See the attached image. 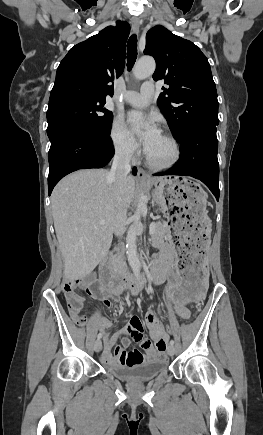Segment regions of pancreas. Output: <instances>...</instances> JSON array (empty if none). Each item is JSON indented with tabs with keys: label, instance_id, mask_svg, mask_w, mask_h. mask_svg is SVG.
<instances>
[{
	"label": "pancreas",
	"instance_id": "pancreas-1",
	"mask_svg": "<svg viewBox=\"0 0 263 435\" xmlns=\"http://www.w3.org/2000/svg\"><path fill=\"white\" fill-rule=\"evenodd\" d=\"M167 231H168V227H167V224L165 222L164 223H161V222L156 223L155 230H154L152 237H151L152 245L154 247L160 246V244L163 242V240L166 236Z\"/></svg>",
	"mask_w": 263,
	"mask_h": 435
}]
</instances>
